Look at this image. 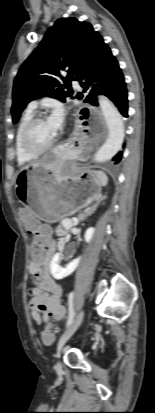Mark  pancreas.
<instances>
[{
  "label": "pancreas",
  "instance_id": "cf45deb5",
  "mask_svg": "<svg viewBox=\"0 0 155 413\" xmlns=\"http://www.w3.org/2000/svg\"><path fill=\"white\" fill-rule=\"evenodd\" d=\"M72 225H74L73 222H72ZM67 232L68 230L63 228V221H62L61 224L57 227L56 233L58 236H64L67 234Z\"/></svg>",
  "mask_w": 155,
  "mask_h": 413
}]
</instances>
